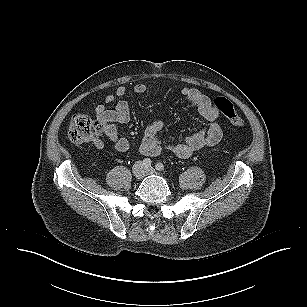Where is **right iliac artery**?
Returning a JSON list of instances; mask_svg holds the SVG:
<instances>
[{
  "label": "right iliac artery",
  "instance_id": "obj_1",
  "mask_svg": "<svg viewBox=\"0 0 307 307\" xmlns=\"http://www.w3.org/2000/svg\"><path fill=\"white\" fill-rule=\"evenodd\" d=\"M151 164H152L151 159L145 158V159L143 160V165H144V167L148 168V167L151 166Z\"/></svg>",
  "mask_w": 307,
  "mask_h": 307
}]
</instances>
